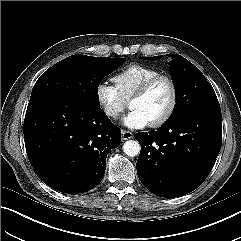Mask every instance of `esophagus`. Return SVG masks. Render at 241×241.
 Masks as SVG:
<instances>
[{
  "label": "esophagus",
  "instance_id": "1",
  "mask_svg": "<svg viewBox=\"0 0 241 241\" xmlns=\"http://www.w3.org/2000/svg\"><path fill=\"white\" fill-rule=\"evenodd\" d=\"M121 133H122V139L123 140H128V139L133 138V133L130 132V131L122 130Z\"/></svg>",
  "mask_w": 241,
  "mask_h": 241
}]
</instances>
